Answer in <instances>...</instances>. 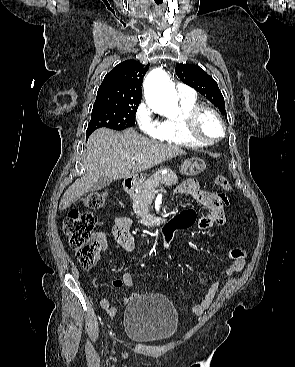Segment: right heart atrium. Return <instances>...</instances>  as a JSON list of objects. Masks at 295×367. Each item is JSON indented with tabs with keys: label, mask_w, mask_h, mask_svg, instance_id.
Listing matches in <instances>:
<instances>
[{
	"label": "right heart atrium",
	"mask_w": 295,
	"mask_h": 367,
	"mask_svg": "<svg viewBox=\"0 0 295 367\" xmlns=\"http://www.w3.org/2000/svg\"><path fill=\"white\" fill-rule=\"evenodd\" d=\"M136 121L139 128L152 138H160L163 132V122L157 119L150 106L143 102L136 110Z\"/></svg>",
	"instance_id": "d8ad5b80"
}]
</instances>
